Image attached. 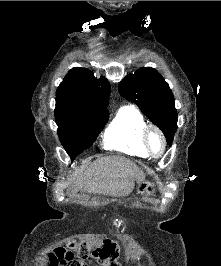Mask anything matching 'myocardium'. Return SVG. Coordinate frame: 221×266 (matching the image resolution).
Returning <instances> with one entry per match:
<instances>
[{"label":"myocardium","instance_id":"myocardium-1","mask_svg":"<svg viewBox=\"0 0 221 266\" xmlns=\"http://www.w3.org/2000/svg\"><path fill=\"white\" fill-rule=\"evenodd\" d=\"M153 137H157L160 141V150L155 151L152 147L151 141ZM144 145L149 153L154 158H160L165 154L167 148V141L163 133L154 126H147L143 135Z\"/></svg>","mask_w":221,"mask_h":266}]
</instances>
